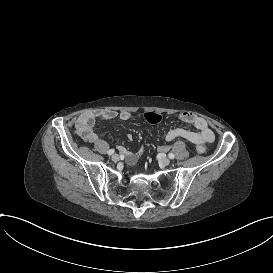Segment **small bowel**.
<instances>
[{"label": "small bowel", "instance_id": "small-bowel-1", "mask_svg": "<svg viewBox=\"0 0 273 273\" xmlns=\"http://www.w3.org/2000/svg\"><path fill=\"white\" fill-rule=\"evenodd\" d=\"M86 114L79 116L75 121L74 137L78 141H83L86 145L96 144L97 151L101 155H106L110 151L108 143L103 142L95 130L91 126L94 125L95 120L111 121L119 119L123 122L129 121L132 115L128 111L117 112L115 110H98L85 112ZM180 120L191 124L195 127V131L184 128H172L165 133L166 141H173L175 139H185L193 143L199 153H204L207 145L214 141L215 134L210 128L208 122L195 114L183 113L179 116ZM132 137L129 136V139ZM136 155L134 152L128 151L125 154V161L128 165L136 164Z\"/></svg>", "mask_w": 273, "mask_h": 273}]
</instances>
